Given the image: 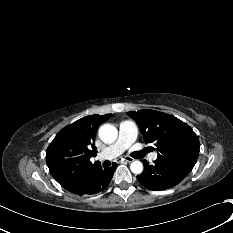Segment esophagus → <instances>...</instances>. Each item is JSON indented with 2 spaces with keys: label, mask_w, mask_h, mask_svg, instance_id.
Wrapping results in <instances>:
<instances>
[{
  "label": "esophagus",
  "mask_w": 233,
  "mask_h": 233,
  "mask_svg": "<svg viewBox=\"0 0 233 233\" xmlns=\"http://www.w3.org/2000/svg\"><path fill=\"white\" fill-rule=\"evenodd\" d=\"M123 160L126 162H129V163L134 161V159L132 157H129V156H126Z\"/></svg>",
  "instance_id": "obj_1"
}]
</instances>
